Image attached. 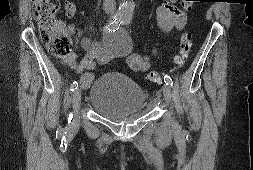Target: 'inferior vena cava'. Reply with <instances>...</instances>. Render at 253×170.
Listing matches in <instances>:
<instances>
[{
    "instance_id": "1",
    "label": "inferior vena cava",
    "mask_w": 253,
    "mask_h": 170,
    "mask_svg": "<svg viewBox=\"0 0 253 170\" xmlns=\"http://www.w3.org/2000/svg\"><path fill=\"white\" fill-rule=\"evenodd\" d=\"M103 6L105 11H113L115 9V0H104Z\"/></svg>"
}]
</instances>
